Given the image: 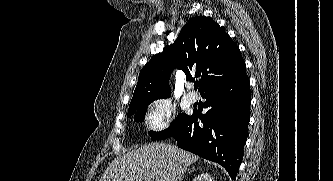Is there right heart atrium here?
Returning a JSON list of instances; mask_svg holds the SVG:
<instances>
[{"mask_svg":"<svg viewBox=\"0 0 333 181\" xmlns=\"http://www.w3.org/2000/svg\"><path fill=\"white\" fill-rule=\"evenodd\" d=\"M174 114L175 106L171 100L159 98L149 104L146 121L153 131H162L170 125Z\"/></svg>","mask_w":333,"mask_h":181,"instance_id":"right-heart-atrium-1","label":"right heart atrium"}]
</instances>
